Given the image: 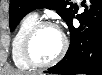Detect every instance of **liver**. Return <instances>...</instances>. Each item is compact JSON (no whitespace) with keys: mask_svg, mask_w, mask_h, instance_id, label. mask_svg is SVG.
Returning <instances> with one entry per match:
<instances>
[{"mask_svg":"<svg viewBox=\"0 0 102 75\" xmlns=\"http://www.w3.org/2000/svg\"><path fill=\"white\" fill-rule=\"evenodd\" d=\"M8 75H27V74L21 71H10L8 72Z\"/></svg>","mask_w":102,"mask_h":75,"instance_id":"liver-1","label":"liver"}]
</instances>
